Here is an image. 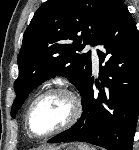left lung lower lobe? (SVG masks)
Returning a JSON list of instances; mask_svg holds the SVG:
<instances>
[{"mask_svg":"<svg viewBox=\"0 0 139 150\" xmlns=\"http://www.w3.org/2000/svg\"><path fill=\"white\" fill-rule=\"evenodd\" d=\"M97 45L103 48L97 51L99 93L94 95L90 75L81 92L80 120L48 143L82 141L108 150H131L139 114V33L121 0L113 4Z\"/></svg>","mask_w":139,"mask_h":150,"instance_id":"1","label":"left lung lower lobe"}]
</instances>
